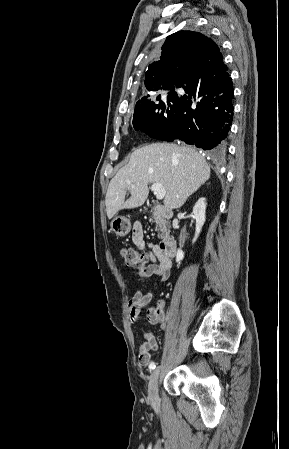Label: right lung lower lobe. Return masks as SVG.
I'll return each instance as SVG.
<instances>
[{
    "instance_id": "98d812e1",
    "label": "right lung lower lobe",
    "mask_w": 289,
    "mask_h": 449,
    "mask_svg": "<svg viewBox=\"0 0 289 449\" xmlns=\"http://www.w3.org/2000/svg\"><path fill=\"white\" fill-rule=\"evenodd\" d=\"M181 87L188 96L179 98L173 121L154 138L169 142L179 139L213 154L223 151L234 109L227 66L224 64L204 81L187 82Z\"/></svg>"
}]
</instances>
